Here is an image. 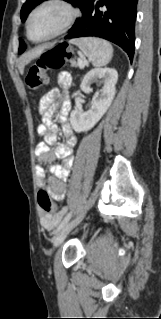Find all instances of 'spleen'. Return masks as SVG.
Instances as JSON below:
<instances>
[{
	"instance_id": "obj_1",
	"label": "spleen",
	"mask_w": 161,
	"mask_h": 319,
	"mask_svg": "<svg viewBox=\"0 0 161 319\" xmlns=\"http://www.w3.org/2000/svg\"><path fill=\"white\" fill-rule=\"evenodd\" d=\"M72 43L81 49L95 67L105 66L112 59L113 47L103 39L95 37L80 38L73 40Z\"/></svg>"
}]
</instances>
